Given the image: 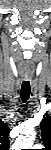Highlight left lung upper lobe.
I'll use <instances>...</instances> for the list:
<instances>
[{
	"label": "left lung upper lobe",
	"instance_id": "left-lung-upper-lobe-1",
	"mask_svg": "<svg viewBox=\"0 0 51 150\" xmlns=\"http://www.w3.org/2000/svg\"><path fill=\"white\" fill-rule=\"evenodd\" d=\"M42 131V139L44 145L49 148L51 146V118L46 117L40 123Z\"/></svg>",
	"mask_w": 51,
	"mask_h": 150
}]
</instances>
